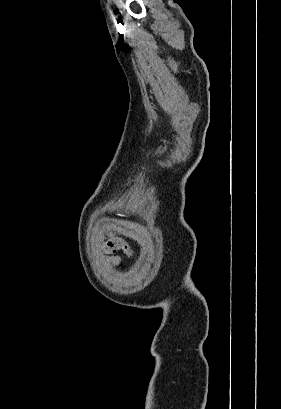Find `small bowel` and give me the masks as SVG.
I'll return each mask as SVG.
<instances>
[{
  "label": "small bowel",
  "mask_w": 281,
  "mask_h": 409,
  "mask_svg": "<svg viewBox=\"0 0 281 409\" xmlns=\"http://www.w3.org/2000/svg\"><path fill=\"white\" fill-rule=\"evenodd\" d=\"M103 248L110 254L108 257V261L112 265H119L120 263V257L115 255L114 253L117 250H123L127 253L130 252V245L126 244L122 239H112L108 241ZM131 257L132 258H137L138 257V252L137 251H132L131 252Z\"/></svg>",
  "instance_id": "small-bowel-1"
}]
</instances>
